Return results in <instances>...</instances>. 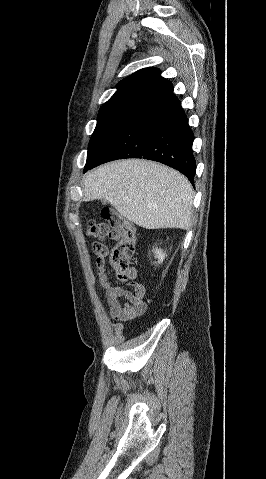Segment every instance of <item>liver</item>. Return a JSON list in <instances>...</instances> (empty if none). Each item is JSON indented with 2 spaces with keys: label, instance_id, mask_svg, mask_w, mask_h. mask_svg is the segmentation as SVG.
<instances>
[{
  "label": "liver",
  "instance_id": "6515ba94",
  "mask_svg": "<svg viewBox=\"0 0 266 479\" xmlns=\"http://www.w3.org/2000/svg\"><path fill=\"white\" fill-rule=\"evenodd\" d=\"M83 201L106 200L121 216L146 229L192 225L193 188L181 173L140 159L114 161L84 176Z\"/></svg>",
  "mask_w": 266,
  "mask_h": 479
}]
</instances>
